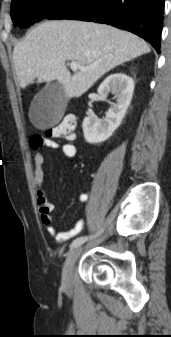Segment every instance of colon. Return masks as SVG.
Masks as SVG:
<instances>
[{"instance_id":"1","label":"colon","mask_w":171,"mask_h":337,"mask_svg":"<svg viewBox=\"0 0 171 337\" xmlns=\"http://www.w3.org/2000/svg\"><path fill=\"white\" fill-rule=\"evenodd\" d=\"M76 122L72 116L65 117L58 125L50 127L46 136L57 139H71L74 136Z\"/></svg>"}]
</instances>
